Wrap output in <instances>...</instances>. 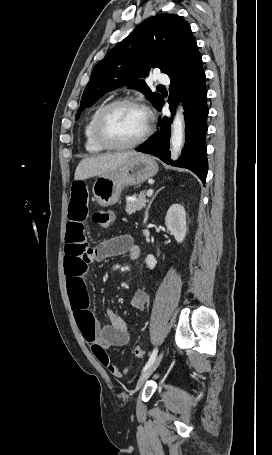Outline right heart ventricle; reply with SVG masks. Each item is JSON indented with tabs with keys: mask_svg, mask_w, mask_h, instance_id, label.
<instances>
[{
	"mask_svg": "<svg viewBox=\"0 0 272 455\" xmlns=\"http://www.w3.org/2000/svg\"><path fill=\"white\" fill-rule=\"evenodd\" d=\"M101 107H97L88 117L87 122L84 126V146L87 152L92 154L102 153L106 149L98 145L92 135V123L95 115Z\"/></svg>",
	"mask_w": 272,
	"mask_h": 455,
	"instance_id": "e07e8e85",
	"label": "right heart ventricle"
}]
</instances>
